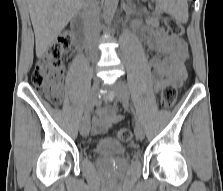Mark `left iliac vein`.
I'll return each instance as SVG.
<instances>
[{
  "instance_id": "1",
  "label": "left iliac vein",
  "mask_w": 223,
  "mask_h": 191,
  "mask_svg": "<svg viewBox=\"0 0 223 191\" xmlns=\"http://www.w3.org/2000/svg\"><path fill=\"white\" fill-rule=\"evenodd\" d=\"M116 92L117 99L125 106L129 107L130 96L126 85L117 80L113 88ZM136 139L142 141L144 139V129L140 122H137L134 128Z\"/></svg>"
}]
</instances>
